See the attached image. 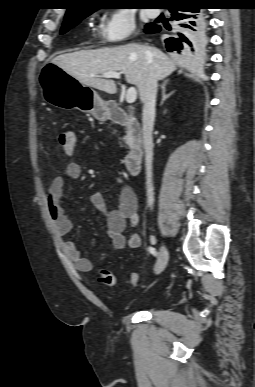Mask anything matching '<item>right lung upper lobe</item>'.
Returning a JSON list of instances; mask_svg holds the SVG:
<instances>
[{
    "label": "right lung upper lobe",
    "instance_id": "cb5924a9",
    "mask_svg": "<svg viewBox=\"0 0 255 387\" xmlns=\"http://www.w3.org/2000/svg\"><path fill=\"white\" fill-rule=\"evenodd\" d=\"M74 6L68 8L66 15H75L82 14L88 11L97 10L94 6L96 3H93V0H75ZM169 1H177V0H169Z\"/></svg>",
    "mask_w": 255,
    "mask_h": 387
}]
</instances>
